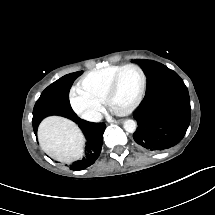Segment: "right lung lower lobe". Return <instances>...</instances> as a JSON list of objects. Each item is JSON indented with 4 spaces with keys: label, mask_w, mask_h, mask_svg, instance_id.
Instances as JSON below:
<instances>
[{
    "label": "right lung lower lobe",
    "mask_w": 215,
    "mask_h": 215,
    "mask_svg": "<svg viewBox=\"0 0 215 215\" xmlns=\"http://www.w3.org/2000/svg\"><path fill=\"white\" fill-rule=\"evenodd\" d=\"M60 116H63V115H60ZM43 118H40L36 121H32L34 133L36 136H37V129H38L39 123ZM66 118L73 120L75 123L79 125L87 140L84 157L78 162L73 163L70 166L71 170H75V171L83 170L91 166L99 157L101 148H102L103 133L106 125L101 123L87 122L85 120H81L77 116L66 117Z\"/></svg>",
    "instance_id": "right-lung-lower-lobe-1"
}]
</instances>
